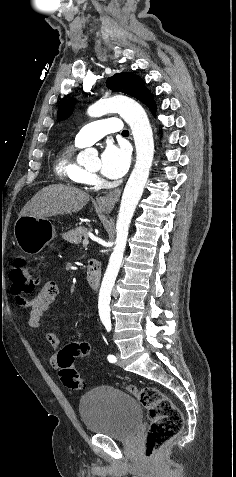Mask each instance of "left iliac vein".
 Returning <instances> with one entry per match:
<instances>
[{
    "mask_svg": "<svg viewBox=\"0 0 236 477\" xmlns=\"http://www.w3.org/2000/svg\"><path fill=\"white\" fill-rule=\"evenodd\" d=\"M116 356H117V359H118V360H117V364H118V366H121V365H122V361H121L120 355L117 353Z\"/></svg>",
    "mask_w": 236,
    "mask_h": 477,
    "instance_id": "4c4485c4",
    "label": "left iliac vein"
}]
</instances>
